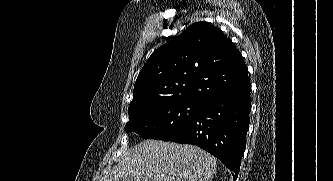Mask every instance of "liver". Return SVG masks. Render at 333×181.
I'll return each instance as SVG.
<instances>
[{
  "instance_id": "1",
  "label": "liver",
  "mask_w": 333,
  "mask_h": 181,
  "mask_svg": "<svg viewBox=\"0 0 333 181\" xmlns=\"http://www.w3.org/2000/svg\"><path fill=\"white\" fill-rule=\"evenodd\" d=\"M216 162L197 146L150 139L127 151L101 181H212Z\"/></svg>"
}]
</instances>
